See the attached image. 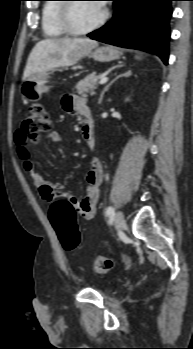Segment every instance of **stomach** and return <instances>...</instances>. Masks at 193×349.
Returning <instances> with one entry per match:
<instances>
[{"mask_svg": "<svg viewBox=\"0 0 193 349\" xmlns=\"http://www.w3.org/2000/svg\"><path fill=\"white\" fill-rule=\"evenodd\" d=\"M122 51L113 46H102L91 53V57L99 62H110L118 59ZM50 72L37 73L23 80L20 91L22 97L30 102H37L42 98V94L49 90L47 85Z\"/></svg>", "mask_w": 193, "mask_h": 349, "instance_id": "obj_1", "label": "stomach"}]
</instances>
